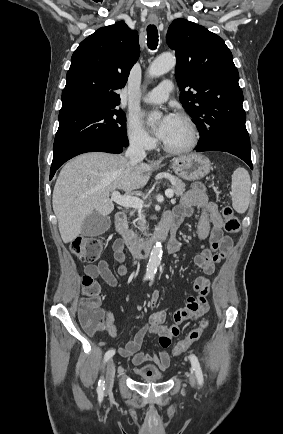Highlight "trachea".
Listing matches in <instances>:
<instances>
[{"mask_svg":"<svg viewBox=\"0 0 283 434\" xmlns=\"http://www.w3.org/2000/svg\"><path fill=\"white\" fill-rule=\"evenodd\" d=\"M158 30L155 25H149L147 27V45L149 49L155 50L158 46Z\"/></svg>","mask_w":283,"mask_h":434,"instance_id":"obj_1","label":"trachea"}]
</instances>
